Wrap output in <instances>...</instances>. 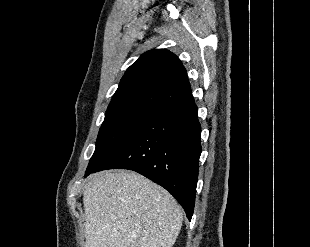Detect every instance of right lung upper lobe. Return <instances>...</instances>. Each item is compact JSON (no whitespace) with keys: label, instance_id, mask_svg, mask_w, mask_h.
Returning a JSON list of instances; mask_svg holds the SVG:
<instances>
[{"label":"right lung upper lobe","instance_id":"1","mask_svg":"<svg viewBox=\"0 0 310 247\" xmlns=\"http://www.w3.org/2000/svg\"><path fill=\"white\" fill-rule=\"evenodd\" d=\"M191 95L186 69L177 56L154 49L127 69L106 113L137 106L161 111Z\"/></svg>","mask_w":310,"mask_h":247}]
</instances>
